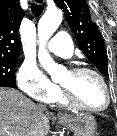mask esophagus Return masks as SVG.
Masks as SVG:
<instances>
[{"instance_id":"1","label":"esophagus","mask_w":117,"mask_h":136,"mask_svg":"<svg viewBox=\"0 0 117 136\" xmlns=\"http://www.w3.org/2000/svg\"><path fill=\"white\" fill-rule=\"evenodd\" d=\"M35 2L37 4H42V3H44V0H35ZM58 117L61 118V119H66L67 118V116L65 114H62V113H59Z\"/></svg>"}]
</instances>
